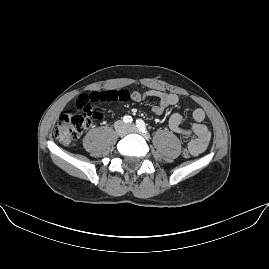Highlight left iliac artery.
<instances>
[{
	"instance_id": "44dca946",
	"label": "left iliac artery",
	"mask_w": 269,
	"mask_h": 269,
	"mask_svg": "<svg viewBox=\"0 0 269 269\" xmlns=\"http://www.w3.org/2000/svg\"><path fill=\"white\" fill-rule=\"evenodd\" d=\"M136 127L138 128V130L142 133L147 134L148 131L146 129V125L145 122L142 119H138L136 120Z\"/></svg>"
}]
</instances>
